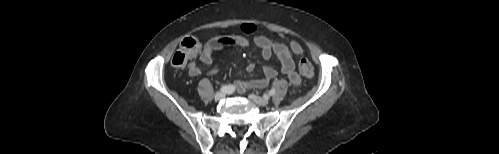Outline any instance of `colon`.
I'll use <instances>...</instances> for the list:
<instances>
[{
  "label": "colon",
  "mask_w": 499,
  "mask_h": 154,
  "mask_svg": "<svg viewBox=\"0 0 499 154\" xmlns=\"http://www.w3.org/2000/svg\"><path fill=\"white\" fill-rule=\"evenodd\" d=\"M202 45L198 36L189 35L183 39L180 46L172 57V65L175 67H182L194 59L201 51ZM290 48L296 54L302 52L301 46L295 42H290ZM300 73L306 78L314 76V70L311 62L307 58H302L299 62Z\"/></svg>",
  "instance_id": "1"
}]
</instances>
